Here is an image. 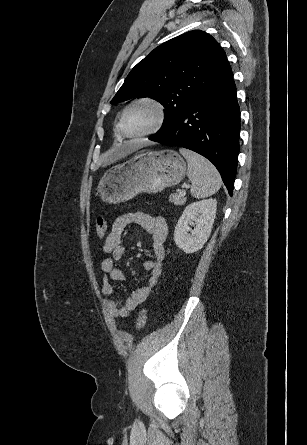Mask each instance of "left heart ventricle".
Wrapping results in <instances>:
<instances>
[{
    "instance_id": "left-heart-ventricle-1",
    "label": "left heart ventricle",
    "mask_w": 307,
    "mask_h": 445,
    "mask_svg": "<svg viewBox=\"0 0 307 445\" xmlns=\"http://www.w3.org/2000/svg\"><path fill=\"white\" fill-rule=\"evenodd\" d=\"M157 118V111L152 105H134L128 110L125 118L126 130L131 134L148 130L155 125Z\"/></svg>"
}]
</instances>
